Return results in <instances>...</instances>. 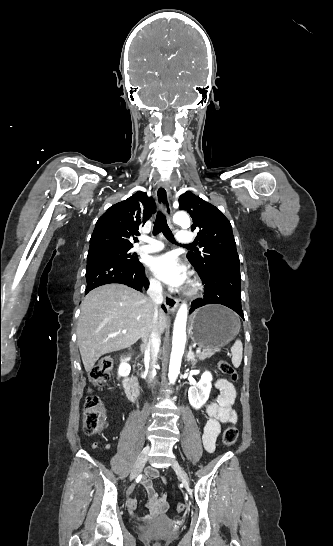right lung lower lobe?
Returning a JSON list of instances; mask_svg holds the SVG:
<instances>
[{"mask_svg": "<svg viewBox=\"0 0 333 546\" xmlns=\"http://www.w3.org/2000/svg\"><path fill=\"white\" fill-rule=\"evenodd\" d=\"M144 271L142 263L131 264L111 256L92 254L87 257L85 294L98 286L110 283L125 284L142 292V288L149 287ZM162 308L166 312V308L164 306Z\"/></svg>", "mask_w": 333, "mask_h": 546, "instance_id": "right-lung-lower-lobe-1", "label": "right lung lower lobe"}]
</instances>
